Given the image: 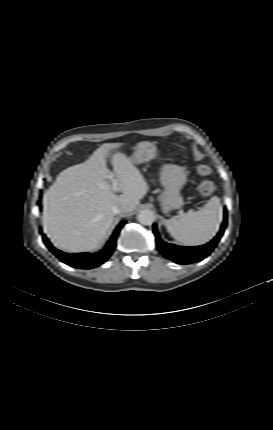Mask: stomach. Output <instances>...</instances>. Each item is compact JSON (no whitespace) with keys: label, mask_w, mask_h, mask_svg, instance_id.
<instances>
[{"label":"stomach","mask_w":273,"mask_h":430,"mask_svg":"<svg viewBox=\"0 0 273 430\" xmlns=\"http://www.w3.org/2000/svg\"><path fill=\"white\" fill-rule=\"evenodd\" d=\"M158 156V148L153 142L142 141L137 144L131 157L133 164H140L155 159ZM187 180V172L178 165L164 164L160 171V183L164 190L158 197L163 212L179 209L183 204L181 189Z\"/></svg>","instance_id":"obj_1"}]
</instances>
